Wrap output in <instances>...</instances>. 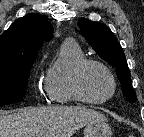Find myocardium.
<instances>
[{
	"label": "myocardium",
	"instance_id": "f54148a6",
	"mask_svg": "<svg viewBox=\"0 0 144 137\" xmlns=\"http://www.w3.org/2000/svg\"><path fill=\"white\" fill-rule=\"evenodd\" d=\"M90 66H97L101 68L107 74V76L111 81L112 90L108 96L102 99H91L85 94L83 90L82 87L83 75ZM72 89L74 96L78 101L91 105H100L110 101L115 96L117 91V81L113 72L104 63L98 60L86 59L80 65H78V67L74 71L72 78Z\"/></svg>",
	"mask_w": 144,
	"mask_h": 137
}]
</instances>
